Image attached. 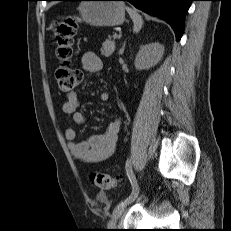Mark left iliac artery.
Instances as JSON below:
<instances>
[{
    "mask_svg": "<svg viewBox=\"0 0 231 231\" xmlns=\"http://www.w3.org/2000/svg\"><path fill=\"white\" fill-rule=\"evenodd\" d=\"M125 168H126V172H127L128 178L132 186V192L124 201H121L122 204L129 203L138 194V185H137L136 178L132 170L131 159H127Z\"/></svg>",
    "mask_w": 231,
    "mask_h": 231,
    "instance_id": "44dca946",
    "label": "left iliac artery"
}]
</instances>
